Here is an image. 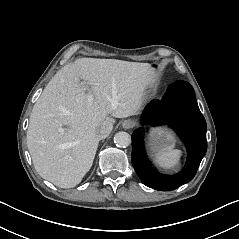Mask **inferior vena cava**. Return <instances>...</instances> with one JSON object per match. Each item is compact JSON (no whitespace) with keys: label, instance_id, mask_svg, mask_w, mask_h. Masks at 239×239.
<instances>
[{"label":"inferior vena cava","instance_id":"1","mask_svg":"<svg viewBox=\"0 0 239 239\" xmlns=\"http://www.w3.org/2000/svg\"><path fill=\"white\" fill-rule=\"evenodd\" d=\"M113 128V122L112 121H105L102 123L101 127L97 130L96 136L99 139H104L109 136L110 132Z\"/></svg>","mask_w":239,"mask_h":239}]
</instances>
